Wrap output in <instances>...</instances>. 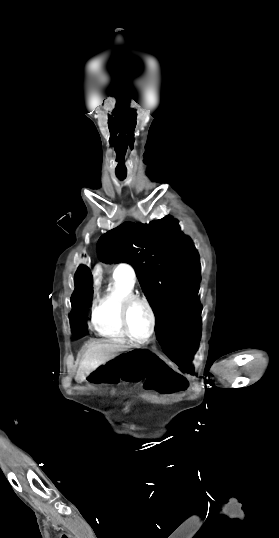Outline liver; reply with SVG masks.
I'll use <instances>...</instances> for the list:
<instances>
[{"label":"liver","mask_w":279,"mask_h":538,"mask_svg":"<svg viewBox=\"0 0 279 538\" xmlns=\"http://www.w3.org/2000/svg\"><path fill=\"white\" fill-rule=\"evenodd\" d=\"M127 346L120 344V342H110V340H102V342H96L92 344L89 350L85 352L83 360L77 370L78 380H84L86 374H91L96 368H99L101 364H105L108 360L115 358L116 352H124Z\"/></svg>","instance_id":"liver-1"}]
</instances>
